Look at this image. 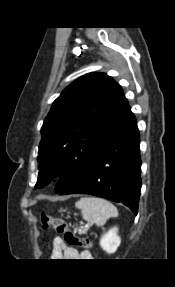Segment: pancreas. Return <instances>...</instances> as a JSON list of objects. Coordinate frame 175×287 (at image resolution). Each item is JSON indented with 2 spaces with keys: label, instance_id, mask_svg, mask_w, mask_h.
I'll return each instance as SVG.
<instances>
[{
  "label": "pancreas",
  "instance_id": "cf45deb5",
  "mask_svg": "<svg viewBox=\"0 0 175 287\" xmlns=\"http://www.w3.org/2000/svg\"><path fill=\"white\" fill-rule=\"evenodd\" d=\"M88 229H89V227H88V226H85V227H83L82 229L79 230V233H80V234H86L87 231H88Z\"/></svg>",
  "mask_w": 175,
  "mask_h": 287
}]
</instances>
